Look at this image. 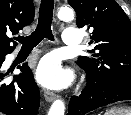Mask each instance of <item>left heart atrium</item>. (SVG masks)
<instances>
[{
  "label": "left heart atrium",
  "mask_w": 131,
  "mask_h": 115,
  "mask_svg": "<svg viewBox=\"0 0 131 115\" xmlns=\"http://www.w3.org/2000/svg\"><path fill=\"white\" fill-rule=\"evenodd\" d=\"M36 77L41 84L51 88L62 87L70 79L69 73L63 70L60 62L52 56L41 60L36 69Z\"/></svg>",
  "instance_id": "1"
}]
</instances>
